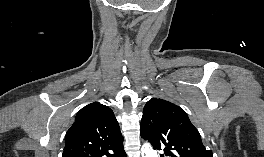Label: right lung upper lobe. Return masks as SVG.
I'll return each instance as SVG.
<instances>
[{
	"label": "right lung upper lobe",
	"mask_w": 264,
	"mask_h": 157,
	"mask_svg": "<svg viewBox=\"0 0 264 157\" xmlns=\"http://www.w3.org/2000/svg\"><path fill=\"white\" fill-rule=\"evenodd\" d=\"M63 157H104L123 147L113 111L99 102L82 108L65 136Z\"/></svg>",
	"instance_id": "cb5924a9"
}]
</instances>
